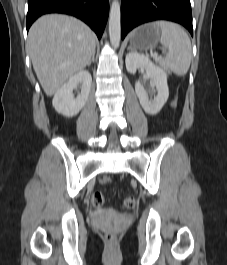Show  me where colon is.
I'll return each instance as SVG.
<instances>
[{"label": "colon", "mask_w": 227, "mask_h": 265, "mask_svg": "<svg viewBox=\"0 0 227 265\" xmlns=\"http://www.w3.org/2000/svg\"><path fill=\"white\" fill-rule=\"evenodd\" d=\"M172 107H176V100H174L172 102ZM101 183L104 185H108L111 183V178L108 176H104L101 179ZM91 203L95 206V207H101L104 204V197L102 195V193L100 191H94L91 194ZM136 206V200L133 196H128L126 198L123 199L122 201V209L124 211H132ZM105 241L110 244L113 245L116 241V236L112 233H107L105 236Z\"/></svg>", "instance_id": "obj_1"}]
</instances>
